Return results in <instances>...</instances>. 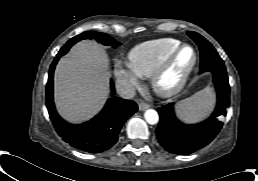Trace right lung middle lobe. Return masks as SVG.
I'll use <instances>...</instances> for the list:
<instances>
[{
    "instance_id": "1",
    "label": "right lung middle lobe",
    "mask_w": 258,
    "mask_h": 181,
    "mask_svg": "<svg viewBox=\"0 0 258 181\" xmlns=\"http://www.w3.org/2000/svg\"><path fill=\"white\" fill-rule=\"evenodd\" d=\"M81 39H96L99 43H102L106 46H111L113 48L118 47L121 43L116 41L114 38L109 36L105 33L94 32V31H86L83 32L72 39H70L61 49L59 52L64 51L62 55L66 54L69 48L74 45L76 42L80 41Z\"/></svg>"
}]
</instances>
